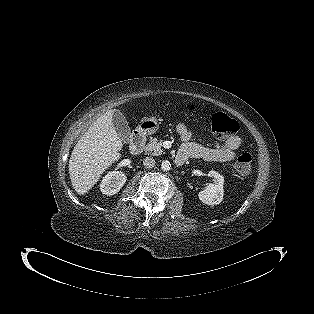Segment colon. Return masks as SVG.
Listing matches in <instances>:
<instances>
[{
	"label": "colon",
	"mask_w": 314,
	"mask_h": 314,
	"mask_svg": "<svg viewBox=\"0 0 314 314\" xmlns=\"http://www.w3.org/2000/svg\"><path fill=\"white\" fill-rule=\"evenodd\" d=\"M212 132L219 136H228L238 131V123L223 112H216L210 118ZM252 157L249 153H241L235 160V169L241 175L251 171Z\"/></svg>",
	"instance_id": "5ec220e1"
}]
</instances>
